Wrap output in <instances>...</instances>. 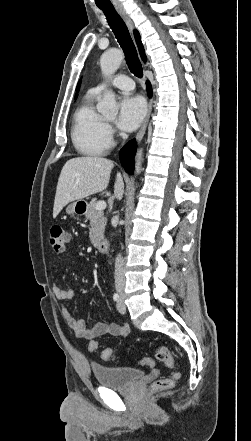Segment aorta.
I'll list each match as a JSON object with an SVG mask.
<instances>
[{
	"instance_id": "aorta-1",
	"label": "aorta",
	"mask_w": 251,
	"mask_h": 441,
	"mask_svg": "<svg viewBox=\"0 0 251 441\" xmlns=\"http://www.w3.org/2000/svg\"><path fill=\"white\" fill-rule=\"evenodd\" d=\"M123 60V53L118 49L109 50L102 54L100 59V67L104 76L113 75L119 68ZM97 110L102 115L108 117H115L118 114V106L115 99V94L112 91H107L103 100L98 103ZM142 149L137 152L135 172L141 171Z\"/></svg>"
}]
</instances>
